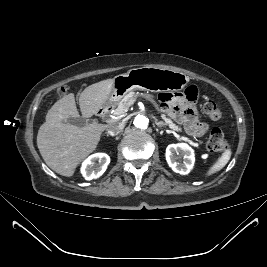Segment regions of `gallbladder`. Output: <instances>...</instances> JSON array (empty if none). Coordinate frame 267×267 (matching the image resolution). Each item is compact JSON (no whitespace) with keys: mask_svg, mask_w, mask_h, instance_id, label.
I'll return each instance as SVG.
<instances>
[{"mask_svg":"<svg viewBox=\"0 0 267 267\" xmlns=\"http://www.w3.org/2000/svg\"><path fill=\"white\" fill-rule=\"evenodd\" d=\"M67 122L76 125L78 127H84L87 124V119L84 117H78V118L70 117L67 119Z\"/></svg>","mask_w":267,"mask_h":267,"instance_id":"1","label":"gallbladder"}]
</instances>
